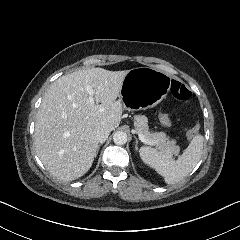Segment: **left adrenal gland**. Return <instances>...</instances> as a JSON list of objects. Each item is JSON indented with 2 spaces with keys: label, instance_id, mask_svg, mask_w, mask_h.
Returning <instances> with one entry per match:
<instances>
[{
  "label": "left adrenal gland",
  "instance_id": "1",
  "mask_svg": "<svg viewBox=\"0 0 240 240\" xmlns=\"http://www.w3.org/2000/svg\"><path fill=\"white\" fill-rule=\"evenodd\" d=\"M135 138L136 144H135V150H138V138L134 135L133 136Z\"/></svg>",
  "mask_w": 240,
  "mask_h": 240
}]
</instances>
